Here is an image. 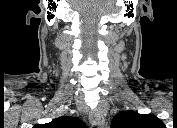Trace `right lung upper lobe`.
Returning a JSON list of instances; mask_svg holds the SVG:
<instances>
[{"label":"right lung upper lobe","instance_id":"1","mask_svg":"<svg viewBox=\"0 0 177 128\" xmlns=\"http://www.w3.org/2000/svg\"><path fill=\"white\" fill-rule=\"evenodd\" d=\"M46 126L49 128H85L84 122L71 116H62L52 120Z\"/></svg>","mask_w":177,"mask_h":128}]
</instances>
